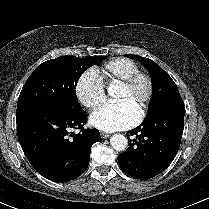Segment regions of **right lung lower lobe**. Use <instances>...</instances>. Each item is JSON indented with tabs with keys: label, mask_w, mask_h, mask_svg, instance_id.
<instances>
[{
	"label": "right lung lower lobe",
	"mask_w": 209,
	"mask_h": 209,
	"mask_svg": "<svg viewBox=\"0 0 209 209\" xmlns=\"http://www.w3.org/2000/svg\"><path fill=\"white\" fill-rule=\"evenodd\" d=\"M85 111L51 107L17 121L20 145L33 168L54 182L77 178L87 168L92 144L101 141L97 129H84ZM73 128L81 132L70 134Z\"/></svg>",
	"instance_id": "right-lung-lower-lobe-1"
}]
</instances>
